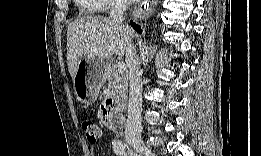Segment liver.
Masks as SVG:
<instances>
[{
	"label": "liver",
	"mask_w": 261,
	"mask_h": 156,
	"mask_svg": "<svg viewBox=\"0 0 261 156\" xmlns=\"http://www.w3.org/2000/svg\"><path fill=\"white\" fill-rule=\"evenodd\" d=\"M132 40V29L111 19L102 16L76 19L67 29V64L72 79L82 59L109 60L113 54L122 57Z\"/></svg>",
	"instance_id": "6515ba94"
}]
</instances>
